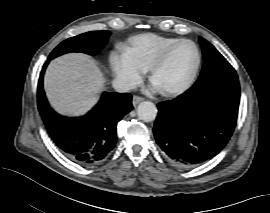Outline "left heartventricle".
Segmentation results:
<instances>
[{
    "label": "left heart ventricle",
    "instance_id": "left-heart-ventricle-1",
    "mask_svg": "<svg viewBox=\"0 0 270 213\" xmlns=\"http://www.w3.org/2000/svg\"><path fill=\"white\" fill-rule=\"evenodd\" d=\"M196 65V53L192 45L176 46L157 68L153 84L160 90L182 85L191 76Z\"/></svg>",
    "mask_w": 270,
    "mask_h": 213
}]
</instances>
